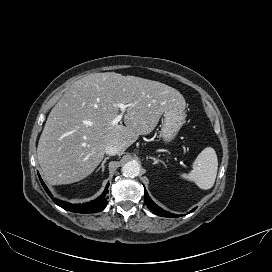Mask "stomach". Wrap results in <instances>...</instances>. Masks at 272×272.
I'll list each match as a JSON object with an SVG mask.
<instances>
[{
    "instance_id": "stomach-1",
    "label": "stomach",
    "mask_w": 272,
    "mask_h": 272,
    "mask_svg": "<svg viewBox=\"0 0 272 272\" xmlns=\"http://www.w3.org/2000/svg\"><path fill=\"white\" fill-rule=\"evenodd\" d=\"M186 113L183 108L174 107L164 112V119L160 131L163 142L168 144L174 140L180 128L185 123Z\"/></svg>"
}]
</instances>
